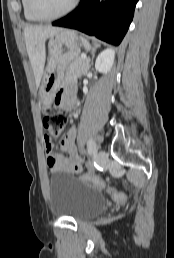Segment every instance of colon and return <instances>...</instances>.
Segmentation results:
<instances>
[{
  "instance_id": "1",
  "label": "colon",
  "mask_w": 174,
  "mask_h": 258,
  "mask_svg": "<svg viewBox=\"0 0 174 258\" xmlns=\"http://www.w3.org/2000/svg\"><path fill=\"white\" fill-rule=\"evenodd\" d=\"M67 122V117L64 109L48 110L45 114L43 123L50 139H57L63 133ZM80 181L106 191L115 201L124 202L127 196L107 185L102 179L97 176L86 174L79 177Z\"/></svg>"
}]
</instances>
